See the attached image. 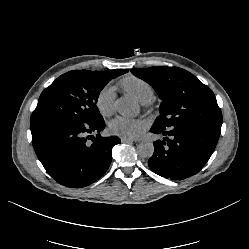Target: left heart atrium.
I'll use <instances>...</instances> for the list:
<instances>
[{
	"label": "left heart atrium",
	"instance_id": "left-heart-atrium-1",
	"mask_svg": "<svg viewBox=\"0 0 249 249\" xmlns=\"http://www.w3.org/2000/svg\"><path fill=\"white\" fill-rule=\"evenodd\" d=\"M142 127L141 120L121 115L114 117L109 123L111 133L129 138L137 137Z\"/></svg>",
	"mask_w": 249,
	"mask_h": 249
}]
</instances>
